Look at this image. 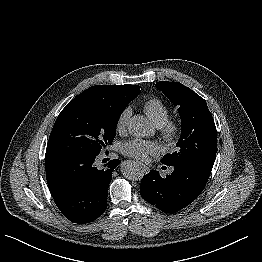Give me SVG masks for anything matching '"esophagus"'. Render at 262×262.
I'll return each mask as SVG.
<instances>
[{
	"label": "esophagus",
	"instance_id": "esophagus-1",
	"mask_svg": "<svg viewBox=\"0 0 262 262\" xmlns=\"http://www.w3.org/2000/svg\"><path fill=\"white\" fill-rule=\"evenodd\" d=\"M139 165H140V167L142 168V170L144 171V172H149V167H147L145 164H143V163H141V162H139Z\"/></svg>",
	"mask_w": 262,
	"mask_h": 262
}]
</instances>
